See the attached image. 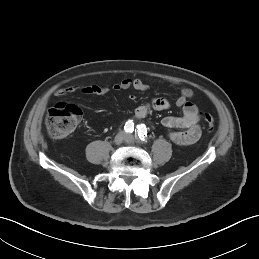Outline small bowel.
<instances>
[{
	"label": "small bowel",
	"mask_w": 259,
	"mask_h": 259,
	"mask_svg": "<svg viewBox=\"0 0 259 259\" xmlns=\"http://www.w3.org/2000/svg\"><path fill=\"white\" fill-rule=\"evenodd\" d=\"M170 83L181 85L179 80H169ZM135 89L137 91H147L149 86L141 79L124 78L112 87L114 92ZM85 95L104 96L109 92V88L98 84L73 85L57 89L55 94L59 97L70 96L75 93ZM194 91L189 87H182L176 106L182 109L181 116H166L162 119V124L169 128L168 139L178 146H186L196 143L201 136L199 125L200 114L197 106L191 101ZM171 107V103L166 98H155L149 102L139 105L134 112L137 119L146 117L152 111H164Z\"/></svg>",
	"instance_id": "small-bowel-1"
}]
</instances>
